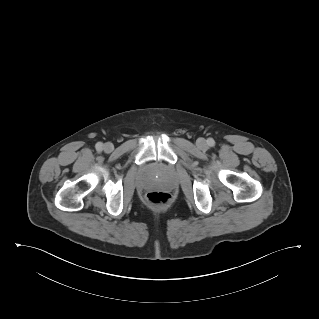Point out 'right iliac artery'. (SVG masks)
Here are the masks:
<instances>
[{"label": "right iliac artery", "instance_id": "1", "mask_svg": "<svg viewBox=\"0 0 319 319\" xmlns=\"http://www.w3.org/2000/svg\"><path fill=\"white\" fill-rule=\"evenodd\" d=\"M102 147H103V144H102L101 142H98V143L96 144V149H97L98 151L102 150Z\"/></svg>", "mask_w": 319, "mask_h": 319}]
</instances>
